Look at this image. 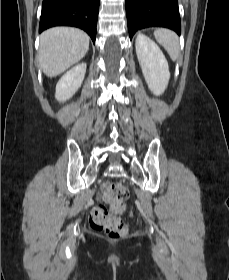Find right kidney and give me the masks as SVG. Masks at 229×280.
Returning <instances> with one entry per match:
<instances>
[{
	"label": "right kidney",
	"instance_id": "ca27d5eb",
	"mask_svg": "<svg viewBox=\"0 0 229 280\" xmlns=\"http://www.w3.org/2000/svg\"><path fill=\"white\" fill-rule=\"evenodd\" d=\"M86 63H80L67 71L56 85L55 98L59 102H65L70 99L81 87L85 73Z\"/></svg>",
	"mask_w": 229,
	"mask_h": 280
}]
</instances>
